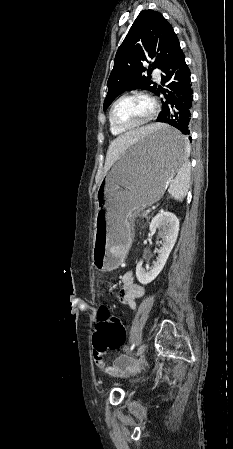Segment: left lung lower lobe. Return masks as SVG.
<instances>
[{
    "instance_id": "left-lung-lower-lobe-1",
    "label": "left lung lower lobe",
    "mask_w": 233,
    "mask_h": 449,
    "mask_svg": "<svg viewBox=\"0 0 233 449\" xmlns=\"http://www.w3.org/2000/svg\"><path fill=\"white\" fill-rule=\"evenodd\" d=\"M161 83L167 88L161 91L165 94L162 101V111L157 117V122L167 123L178 130L179 135L168 133L161 136L162 143L173 151L182 150L185 143L191 141L190 124L192 115V89L190 70L185 62V56L180 48L174 57L161 69ZM156 89L155 93H159Z\"/></svg>"
}]
</instances>
